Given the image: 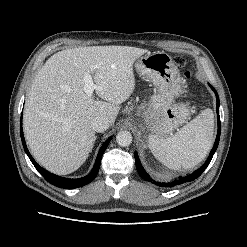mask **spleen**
Instances as JSON below:
<instances>
[{
    "mask_svg": "<svg viewBox=\"0 0 247 247\" xmlns=\"http://www.w3.org/2000/svg\"><path fill=\"white\" fill-rule=\"evenodd\" d=\"M213 131V111L205 109L171 137L151 134L149 148L166 167L173 170L190 169L199 164L210 151Z\"/></svg>",
    "mask_w": 247,
    "mask_h": 247,
    "instance_id": "3e777b00",
    "label": "spleen"
}]
</instances>
